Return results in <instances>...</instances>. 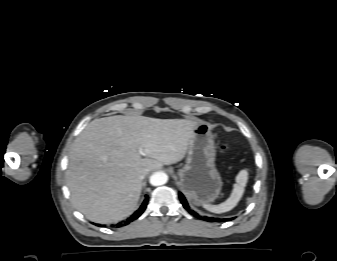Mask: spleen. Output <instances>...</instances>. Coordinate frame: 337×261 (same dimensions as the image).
Here are the masks:
<instances>
[{"mask_svg":"<svg viewBox=\"0 0 337 261\" xmlns=\"http://www.w3.org/2000/svg\"><path fill=\"white\" fill-rule=\"evenodd\" d=\"M236 183L233 186L232 193L226 201L218 205L203 204V207L213 213H224L233 209L237 203L240 201L244 188L248 180L247 170H241L236 176Z\"/></svg>","mask_w":337,"mask_h":261,"instance_id":"obj_1","label":"spleen"}]
</instances>
